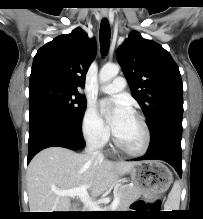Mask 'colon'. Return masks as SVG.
<instances>
[{
    "label": "colon",
    "mask_w": 203,
    "mask_h": 219,
    "mask_svg": "<svg viewBox=\"0 0 203 219\" xmlns=\"http://www.w3.org/2000/svg\"><path fill=\"white\" fill-rule=\"evenodd\" d=\"M150 207H151L152 209H157V208L160 207V202H159V201H155L154 203H152V204L150 205Z\"/></svg>",
    "instance_id": "1"
}]
</instances>
